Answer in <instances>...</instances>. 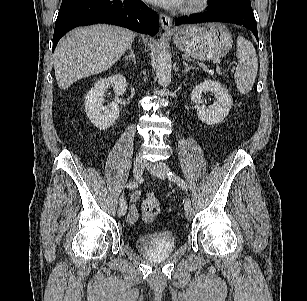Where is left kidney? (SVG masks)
Returning a JSON list of instances; mask_svg holds the SVG:
<instances>
[{"label": "left kidney", "instance_id": "5707ae66", "mask_svg": "<svg viewBox=\"0 0 307 301\" xmlns=\"http://www.w3.org/2000/svg\"><path fill=\"white\" fill-rule=\"evenodd\" d=\"M203 92H212L216 95L217 100L209 107L201 105ZM191 100L196 104L198 118L208 125L222 122L232 106V98L227 89L220 82L211 79L193 88Z\"/></svg>", "mask_w": 307, "mask_h": 301}]
</instances>
